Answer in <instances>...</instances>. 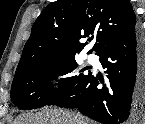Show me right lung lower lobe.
<instances>
[{
	"label": "right lung lower lobe",
	"instance_id": "obj_1",
	"mask_svg": "<svg viewBox=\"0 0 145 124\" xmlns=\"http://www.w3.org/2000/svg\"><path fill=\"white\" fill-rule=\"evenodd\" d=\"M107 81L91 73L47 105L77 108L103 124H132L145 111V35L138 25L98 53ZM103 84L102 89L97 85Z\"/></svg>",
	"mask_w": 145,
	"mask_h": 124
}]
</instances>
